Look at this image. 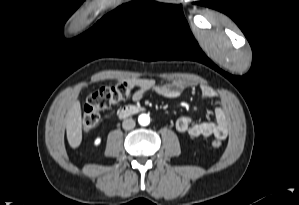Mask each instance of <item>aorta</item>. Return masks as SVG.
I'll return each mask as SVG.
<instances>
[{
    "mask_svg": "<svg viewBox=\"0 0 299 205\" xmlns=\"http://www.w3.org/2000/svg\"><path fill=\"white\" fill-rule=\"evenodd\" d=\"M138 122L142 126H146L150 123V117L148 114H141L138 117Z\"/></svg>",
    "mask_w": 299,
    "mask_h": 205,
    "instance_id": "aorta-1",
    "label": "aorta"
}]
</instances>
